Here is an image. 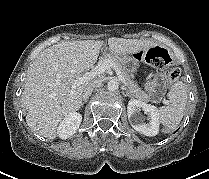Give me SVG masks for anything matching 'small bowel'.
Here are the masks:
<instances>
[{"label":"small bowel","instance_id":"c3829d8e","mask_svg":"<svg viewBox=\"0 0 209 179\" xmlns=\"http://www.w3.org/2000/svg\"><path fill=\"white\" fill-rule=\"evenodd\" d=\"M167 79L164 74H156L146 84V89L154 101H158L164 94Z\"/></svg>","mask_w":209,"mask_h":179}]
</instances>
